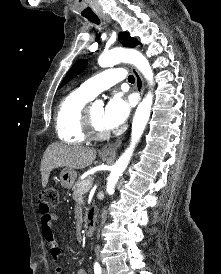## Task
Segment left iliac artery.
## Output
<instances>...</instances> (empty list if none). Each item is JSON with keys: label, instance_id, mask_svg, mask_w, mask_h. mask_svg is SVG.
Listing matches in <instances>:
<instances>
[{"label": "left iliac artery", "instance_id": "44dca946", "mask_svg": "<svg viewBox=\"0 0 221 274\" xmlns=\"http://www.w3.org/2000/svg\"><path fill=\"white\" fill-rule=\"evenodd\" d=\"M94 273L95 274H102L101 266L98 262L94 264Z\"/></svg>", "mask_w": 221, "mask_h": 274}]
</instances>
